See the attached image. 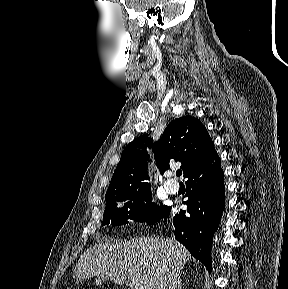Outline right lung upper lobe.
I'll return each mask as SVG.
<instances>
[{
    "instance_id": "1",
    "label": "right lung upper lobe",
    "mask_w": 288,
    "mask_h": 289,
    "mask_svg": "<svg viewBox=\"0 0 288 289\" xmlns=\"http://www.w3.org/2000/svg\"><path fill=\"white\" fill-rule=\"evenodd\" d=\"M151 146L152 140L146 134L125 147L107 193L150 187L145 181L149 179L146 147ZM153 151L161 174L170 168V161L175 160L182 163L184 177L216 153L206 128L192 116L173 120L153 146Z\"/></svg>"
}]
</instances>
